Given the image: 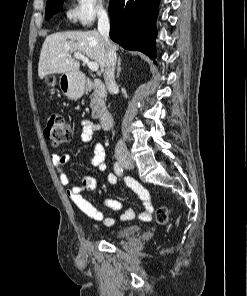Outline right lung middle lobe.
I'll return each instance as SVG.
<instances>
[{"label": "right lung middle lobe", "mask_w": 247, "mask_h": 296, "mask_svg": "<svg viewBox=\"0 0 247 296\" xmlns=\"http://www.w3.org/2000/svg\"><path fill=\"white\" fill-rule=\"evenodd\" d=\"M63 1L64 0H47L45 13L46 19L61 9Z\"/></svg>", "instance_id": "obj_1"}]
</instances>
